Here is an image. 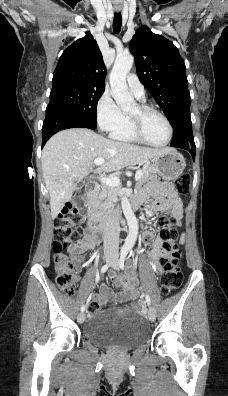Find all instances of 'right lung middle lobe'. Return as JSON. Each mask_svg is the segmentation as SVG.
I'll return each instance as SVG.
<instances>
[{
    "label": "right lung middle lobe",
    "mask_w": 228,
    "mask_h": 396,
    "mask_svg": "<svg viewBox=\"0 0 228 396\" xmlns=\"http://www.w3.org/2000/svg\"><path fill=\"white\" fill-rule=\"evenodd\" d=\"M105 88L77 84L52 87L47 109L61 108L96 123L97 103Z\"/></svg>",
    "instance_id": "dd1d6c3e"
}]
</instances>
